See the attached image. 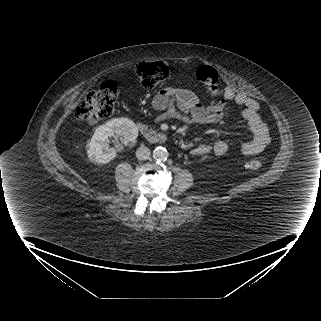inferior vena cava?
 Here are the masks:
<instances>
[{
	"label": "inferior vena cava",
	"mask_w": 321,
	"mask_h": 321,
	"mask_svg": "<svg viewBox=\"0 0 321 321\" xmlns=\"http://www.w3.org/2000/svg\"><path fill=\"white\" fill-rule=\"evenodd\" d=\"M150 149L148 147L141 146L136 151V157L139 160H146L150 157Z\"/></svg>",
	"instance_id": "1"
}]
</instances>
